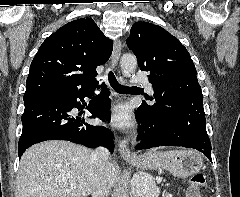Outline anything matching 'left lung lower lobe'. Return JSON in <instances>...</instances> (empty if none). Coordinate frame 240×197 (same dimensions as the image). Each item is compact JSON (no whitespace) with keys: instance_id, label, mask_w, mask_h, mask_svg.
<instances>
[{"instance_id":"left-lung-lower-lobe-1","label":"left lung lower lobe","mask_w":240,"mask_h":197,"mask_svg":"<svg viewBox=\"0 0 240 197\" xmlns=\"http://www.w3.org/2000/svg\"><path fill=\"white\" fill-rule=\"evenodd\" d=\"M135 117L142 125L137 150L182 146L197 149L212 161L202 95L188 91L177 93L162 104L142 103Z\"/></svg>"}]
</instances>
